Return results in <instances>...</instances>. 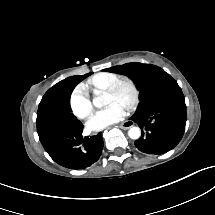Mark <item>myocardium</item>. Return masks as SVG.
Returning a JSON list of instances; mask_svg holds the SVG:
<instances>
[{"label": "myocardium", "mask_w": 215, "mask_h": 215, "mask_svg": "<svg viewBox=\"0 0 215 215\" xmlns=\"http://www.w3.org/2000/svg\"><path fill=\"white\" fill-rule=\"evenodd\" d=\"M115 91L121 95L120 104L124 107H131L136 101V89L130 81H119L114 86L110 87V93Z\"/></svg>", "instance_id": "f54148a6"}]
</instances>
